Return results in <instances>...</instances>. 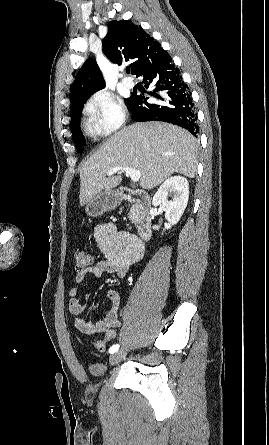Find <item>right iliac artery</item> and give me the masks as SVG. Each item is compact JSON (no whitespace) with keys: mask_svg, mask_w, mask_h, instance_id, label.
Wrapping results in <instances>:
<instances>
[{"mask_svg":"<svg viewBox=\"0 0 269 445\" xmlns=\"http://www.w3.org/2000/svg\"><path fill=\"white\" fill-rule=\"evenodd\" d=\"M119 349V345H113L110 349H109V353H115L117 350Z\"/></svg>","mask_w":269,"mask_h":445,"instance_id":"1","label":"right iliac artery"}]
</instances>
